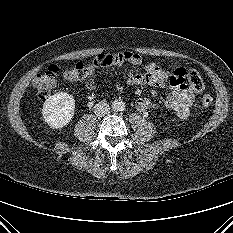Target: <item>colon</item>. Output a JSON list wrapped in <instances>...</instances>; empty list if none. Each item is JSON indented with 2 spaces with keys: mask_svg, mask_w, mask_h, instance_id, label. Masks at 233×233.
Segmentation results:
<instances>
[{
  "mask_svg": "<svg viewBox=\"0 0 233 233\" xmlns=\"http://www.w3.org/2000/svg\"><path fill=\"white\" fill-rule=\"evenodd\" d=\"M110 62L107 54H102L94 58L90 63H77L65 71V77L70 80H85L88 79L100 67L106 66ZM59 68L57 66H50L41 71L32 81V89L41 98L47 97L54 89L57 83V73ZM186 78L191 88L196 92H201L204 89V82L199 73L195 70L186 72ZM213 99L206 94L202 97V105L205 108H210Z\"/></svg>",
  "mask_w": 233,
  "mask_h": 233,
  "instance_id": "1",
  "label": "colon"
}]
</instances>
